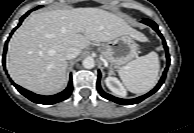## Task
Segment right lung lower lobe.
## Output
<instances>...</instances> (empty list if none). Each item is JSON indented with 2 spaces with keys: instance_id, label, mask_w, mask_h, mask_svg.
Wrapping results in <instances>:
<instances>
[{
  "instance_id": "98d812e1",
  "label": "right lung lower lobe",
  "mask_w": 194,
  "mask_h": 133,
  "mask_svg": "<svg viewBox=\"0 0 194 133\" xmlns=\"http://www.w3.org/2000/svg\"><path fill=\"white\" fill-rule=\"evenodd\" d=\"M31 11L27 12L24 16H22V18L19 21V24L16 28H18L20 26V24L22 23V21L24 20V18L30 13ZM16 28H14V30L11 32L10 36L12 35V33L16 30ZM8 40L5 42V48H4V52H3V66L5 68V58H6V50H7V46H8ZM12 84L16 87V89L25 97H27L29 100H31L32 102L35 103H40V104H55L57 102L63 101L65 99H67L71 93H72V76L70 75V81L68 84V87L62 91L61 93H58L56 95H52V96H42V95H38L35 94L33 92H30L20 86H18L17 84H15L14 82H12Z\"/></svg>"
}]
</instances>
